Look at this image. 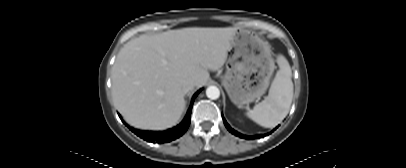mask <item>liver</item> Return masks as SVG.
I'll return each mask as SVG.
<instances>
[{"mask_svg": "<svg viewBox=\"0 0 406 168\" xmlns=\"http://www.w3.org/2000/svg\"><path fill=\"white\" fill-rule=\"evenodd\" d=\"M237 28H184L130 40L112 68V95L124 119L139 129L164 130L181 121L183 85L202 87L220 69Z\"/></svg>", "mask_w": 406, "mask_h": 168, "instance_id": "6515ba94", "label": "liver"}]
</instances>
